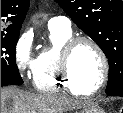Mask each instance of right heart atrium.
Returning a JSON list of instances; mask_svg holds the SVG:
<instances>
[{
	"mask_svg": "<svg viewBox=\"0 0 123 113\" xmlns=\"http://www.w3.org/2000/svg\"><path fill=\"white\" fill-rule=\"evenodd\" d=\"M14 62L23 80L33 77L36 58L33 52V38L30 33L25 32L17 39L14 46Z\"/></svg>",
	"mask_w": 123,
	"mask_h": 113,
	"instance_id": "obj_1",
	"label": "right heart atrium"
}]
</instances>
